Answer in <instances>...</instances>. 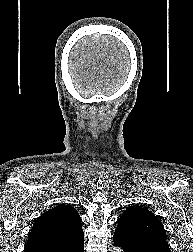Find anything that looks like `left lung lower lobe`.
I'll return each mask as SVG.
<instances>
[{"label":"left lung lower lobe","mask_w":193,"mask_h":252,"mask_svg":"<svg viewBox=\"0 0 193 252\" xmlns=\"http://www.w3.org/2000/svg\"><path fill=\"white\" fill-rule=\"evenodd\" d=\"M114 245L125 252H171L167 241L158 238L129 239L114 232Z\"/></svg>","instance_id":"0a47b994"}]
</instances>
